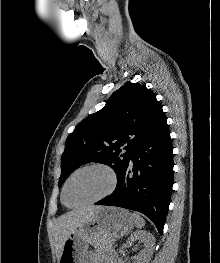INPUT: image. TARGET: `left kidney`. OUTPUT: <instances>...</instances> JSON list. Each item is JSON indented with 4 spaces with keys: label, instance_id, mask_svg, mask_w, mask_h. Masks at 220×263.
Masks as SVG:
<instances>
[{
    "label": "left kidney",
    "instance_id": "5707ae66",
    "mask_svg": "<svg viewBox=\"0 0 220 263\" xmlns=\"http://www.w3.org/2000/svg\"><path fill=\"white\" fill-rule=\"evenodd\" d=\"M140 241L144 243V250L135 258V263H149L150 257L153 253L155 238L147 231L134 232L127 240V245L131 246L134 242Z\"/></svg>",
    "mask_w": 220,
    "mask_h": 263
}]
</instances>
